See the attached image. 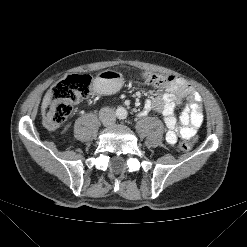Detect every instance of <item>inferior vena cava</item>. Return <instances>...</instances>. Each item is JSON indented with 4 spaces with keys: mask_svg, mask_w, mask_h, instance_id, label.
I'll use <instances>...</instances> for the list:
<instances>
[{
    "mask_svg": "<svg viewBox=\"0 0 247 247\" xmlns=\"http://www.w3.org/2000/svg\"><path fill=\"white\" fill-rule=\"evenodd\" d=\"M99 119L106 125H112L116 121V113L112 108H102L99 111Z\"/></svg>",
    "mask_w": 247,
    "mask_h": 247,
    "instance_id": "obj_1",
    "label": "inferior vena cava"
}]
</instances>
